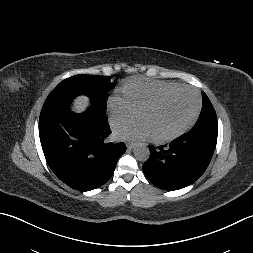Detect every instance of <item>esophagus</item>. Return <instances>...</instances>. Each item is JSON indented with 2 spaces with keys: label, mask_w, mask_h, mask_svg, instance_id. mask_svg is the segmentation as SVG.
<instances>
[{
  "label": "esophagus",
  "mask_w": 253,
  "mask_h": 253,
  "mask_svg": "<svg viewBox=\"0 0 253 253\" xmlns=\"http://www.w3.org/2000/svg\"><path fill=\"white\" fill-rule=\"evenodd\" d=\"M126 146L128 149H133L136 145L134 143H127Z\"/></svg>",
  "instance_id": "obj_1"
}]
</instances>
